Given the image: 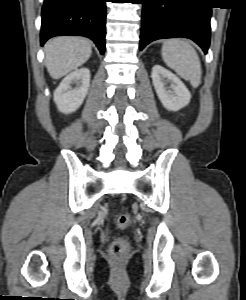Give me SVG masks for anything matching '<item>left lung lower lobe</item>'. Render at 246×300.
<instances>
[{
    "label": "left lung lower lobe",
    "instance_id": "left-lung-lower-lobe-1",
    "mask_svg": "<svg viewBox=\"0 0 246 300\" xmlns=\"http://www.w3.org/2000/svg\"><path fill=\"white\" fill-rule=\"evenodd\" d=\"M142 4L140 50L157 39L185 37L207 53L211 34L207 0H142Z\"/></svg>",
    "mask_w": 246,
    "mask_h": 300
}]
</instances>
